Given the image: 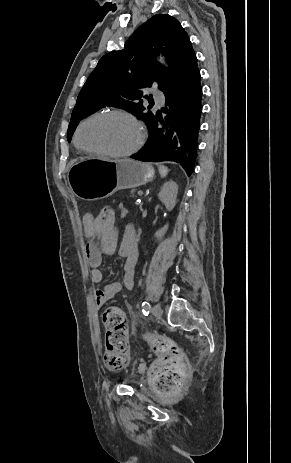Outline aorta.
<instances>
[{
  "label": "aorta",
  "mask_w": 291,
  "mask_h": 463,
  "mask_svg": "<svg viewBox=\"0 0 291 463\" xmlns=\"http://www.w3.org/2000/svg\"><path fill=\"white\" fill-rule=\"evenodd\" d=\"M158 60H159L163 65L167 66V64H166V62H165V60H164V58L159 57Z\"/></svg>",
  "instance_id": "obj_1"
}]
</instances>
